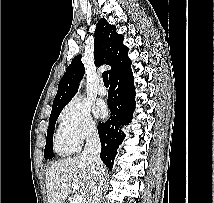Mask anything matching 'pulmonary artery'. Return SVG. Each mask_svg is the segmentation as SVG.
Instances as JSON below:
<instances>
[{
  "mask_svg": "<svg viewBox=\"0 0 214 203\" xmlns=\"http://www.w3.org/2000/svg\"><path fill=\"white\" fill-rule=\"evenodd\" d=\"M97 92L99 95H105L106 94V88L102 82L98 85Z\"/></svg>",
  "mask_w": 214,
  "mask_h": 203,
  "instance_id": "obj_1",
  "label": "pulmonary artery"
}]
</instances>
